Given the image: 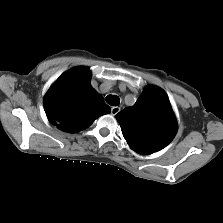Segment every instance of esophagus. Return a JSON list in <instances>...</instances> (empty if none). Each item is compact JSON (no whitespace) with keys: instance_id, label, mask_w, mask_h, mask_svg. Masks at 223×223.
<instances>
[{"instance_id":"esophagus-1","label":"esophagus","mask_w":223,"mask_h":223,"mask_svg":"<svg viewBox=\"0 0 223 223\" xmlns=\"http://www.w3.org/2000/svg\"><path fill=\"white\" fill-rule=\"evenodd\" d=\"M119 112H120V107H118V106H114V107L111 108V114H112V115H116V114H118Z\"/></svg>"}]
</instances>
